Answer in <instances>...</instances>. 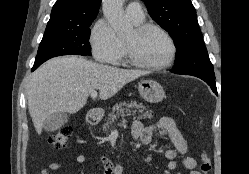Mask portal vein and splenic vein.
I'll return each mask as SVG.
<instances>
[{
  "label": "portal vein and splenic vein",
  "instance_id": "obj_1",
  "mask_svg": "<svg viewBox=\"0 0 249 174\" xmlns=\"http://www.w3.org/2000/svg\"><path fill=\"white\" fill-rule=\"evenodd\" d=\"M91 97L96 98L97 97V92L96 91L91 92ZM124 123H125V121L122 122V124H124Z\"/></svg>",
  "mask_w": 249,
  "mask_h": 174
}]
</instances>
